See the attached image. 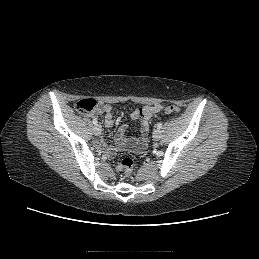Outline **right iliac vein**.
Instances as JSON below:
<instances>
[{"label": "right iliac vein", "mask_w": 259, "mask_h": 259, "mask_svg": "<svg viewBox=\"0 0 259 259\" xmlns=\"http://www.w3.org/2000/svg\"><path fill=\"white\" fill-rule=\"evenodd\" d=\"M93 132L95 135H100L101 134V127L99 125H95L93 127Z\"/></svg>", "instance_id": "63e3f726"}]
</instances>
